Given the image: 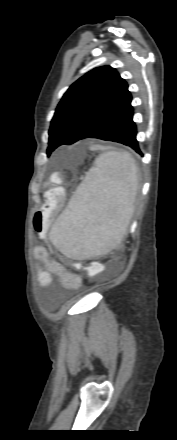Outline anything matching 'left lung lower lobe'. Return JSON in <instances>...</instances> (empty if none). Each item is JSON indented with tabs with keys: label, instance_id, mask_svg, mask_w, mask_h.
<instances>
[{
	"label": "left lung lower lobe",
	"instance_id": "1",
	"mask_svg": "<svg viewBox=\"0 0 177 440\" xmlns=\"http://www.w3.org/2000/svg\"><path fill=\"white\" fill-rule=\"evenodd\" d=\"M136 124L133 122L131 101L108 120L87 133L82 139L97 138L105 141L118 142L131 147L143 156L136 140ZM81 140V139H80Z\"/></svg>",
	"mask_w": 177,
	"mask_h": 440
}]
</instances>
